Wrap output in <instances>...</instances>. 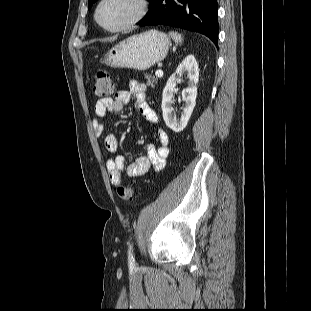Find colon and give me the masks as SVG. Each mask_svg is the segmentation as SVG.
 Listing matches in <instances>:
<instances>
[{
    "instance_id": "colon-1",
    "label": "colon",
    "mask_w": 311,
    "mask_h": 311,
    "mask_svg": "<svg viewBox=\"0 0 311 311\" xmlns=\"http://www.w3.org/2000/svg\"><path fill=\"white\" fill-rule=\"evenodd\" d=\"M93 92L96 97L108 98L113 92V82L106 70H99L95 74ZM118 196L125 202H131L134 199V190L132 187H119Z\"/></svg>"
}]
</instances>
